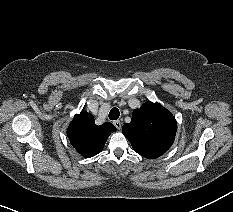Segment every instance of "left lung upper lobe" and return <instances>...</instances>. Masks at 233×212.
<instances>
[{
    "label": "left lung upper lobe",
    "mask_w": 233,
    "mask_h": 212,
    "mask_svg": "<svg viewBox=\"0 0 233 212\" xmlns=\"http://www.w3.org/2000/svg\"><path fill=\"white\" fill-rule=\"evenodd\" d=\"M176 130L177 123L171 112L152 102L134 110L131 122L122 128L134 151L149 159L163 155L171 147Z\"/></svg>",
    "instance_id": "obj_1"
}]
</instances>
